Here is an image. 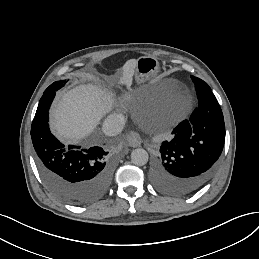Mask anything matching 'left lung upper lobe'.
<instances>
[{"label":"left lung upper lobe","mask_w":259,"mask_h":259,"mask_svg":"<svg viewBox=\"0 0 259 259\" xmlns=\"http://www.w3.org/2000/svg\"><path fill=\"white\" fill-rule=\"evenodd\" d=\"M191 78L195 84V88L197 92H199L200 90H211L209 85L203 80H201L200 78H197L195 76H191Z\"/></svg>","instance_id":"5c2ea615"}]
</instances>
